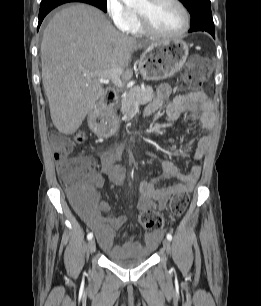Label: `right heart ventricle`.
Here are the masks:
<instances>
[{"instance_id":"1","label":"right heart ventricle","mask_w":261,"mask_h":306,"mask_svg":"<svg viewBox=\"0 0 261 306\" xmlns=\"http://www.w3.org/2000/svg\"><path fill=\"white\" fill-rule=\"evenodd\" d=\"M128 32L133 34V35H136V36H140V35H143L145 33L144 30L141 28L136 16L134 17V20H133L132 25L129 28Z\"/></svg>"}]
</instances>
